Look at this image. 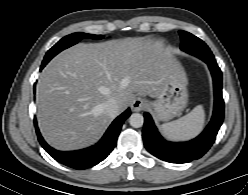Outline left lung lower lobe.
<instances>
[{"mask_svg": "<svg viewBox=\"0 0 248 195\" xmlns=\"http://www.w3.org/2000/svg\"><path fill=\"white\" fill-rule=\"evenodd\" d=\"M201 60L208 64L214 85V111L212 119L205 130L195 139L188 142H170L158 132L152 117L144 113L142 132L146 149L161 160L170 163H187L202 157L212 146L224 118V100L222 97V72L215 58L205 52L199 53Z\"/></svg>", "mask_w": 248, "mask_h": 195, "instance_id": "obj_1", "label": "left lung lower lobe"}]
</instances>
